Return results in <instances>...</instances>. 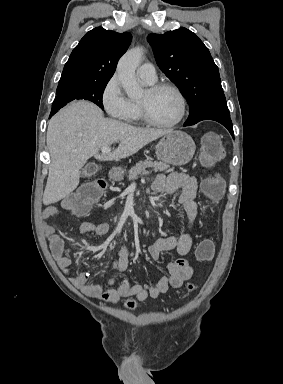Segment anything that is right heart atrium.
I'll return each mask as SVG.
<instances>
[{
  "label": "right heart atrium",
  "instance_id": "1",
  "mask_svg": "<svg viewBox=\"0 0 283 384\" xmlns=\"http://www.w3.org/2000/svg\"><path fill=\"white\" fill-rule=\"evenodd\" d=\"M101 102L112 122L124 126L130 121L131 101L126 97L116 73L105 82L101 91Z\"/></svg>",
  "mask_w": 283,
  "mask_h": 384
}]
</instances>
